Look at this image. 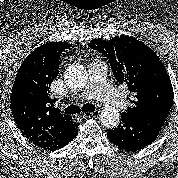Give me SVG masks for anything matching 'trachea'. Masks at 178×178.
<instances>
[{"mask_svg":"<svg viewBox=\"0 0 178 178\" xmlns=\"http://www.w3.org/2000/svg\"><path fill=\"white\" fill-rule=\"evenodd\" d=\"M95 110V105L93 104H84L82 107V111L84 112H93ZM81 109L77 105H70L65 109V113L67 114H76L80 113Z\"/></svg>","mask_w":178,"mask_h":178,"instance_id":"obj_1","label":"trachea"}]
</instances>
